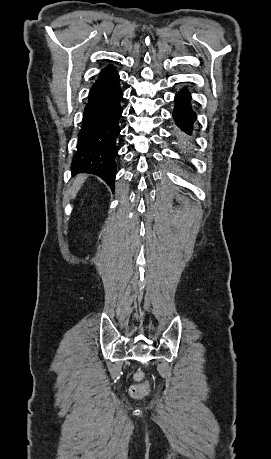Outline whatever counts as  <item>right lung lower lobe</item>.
I'll return each instance as SVG.
<instances>
[{
    "label": "right lung lower lobe",
    "mask_w": 271,
    "mask_h": 459,
    "mask_svg": "<svg viewBox=\"0 0 271 459\" xmlns=\"http://www.w3.org/2000/svg\"><path fill=\"white\" fill-rule=\"evenodd\" d=\"M115 70L98 77L92 86L84 109L82 127L78 133L77 151L72 161V173H89L102 178L112 190L118 154L116 138L120 133L122 115L120 101L123 92Z\"/></svg>",
    "instance_id": "98d812e1"
}]
</instances>
